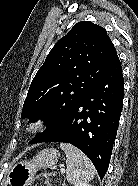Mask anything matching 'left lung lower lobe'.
Instances as JSON below:
<instances>
[{
	"mask_svg": "<svg viewBox=\"0 0 138 186\" xmlns=\"http://www.w3.org/2000/svg\"><path fill=\"white\" fill-rule=\"evenodd\" d=\"M123 91L122 66L118 61L93 85L62 125L38 142H65L76 146L92 161L102 179L117 134Z\"/></svg>",
	"mask_w": 138,
	"mask_h": 186,
	"instance_id": "0a47b994",
	"label": "left lung lower lobe"
}]
</instances>
